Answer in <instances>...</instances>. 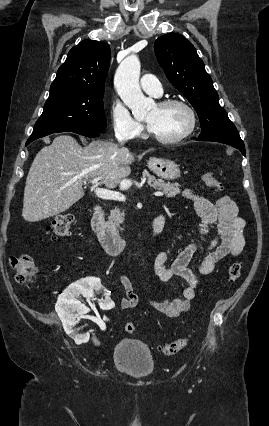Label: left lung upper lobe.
I'll use <instances>...</instances> for the list:
<instances>
[{
    "label": "left lung upper lobe",
    "instance_id": "left-lung-upper-lobe-1",
    "mask_svg": "<svg viewBox=\"0 0 269 426\" xmlns=\"http://www.w3.org/2000/svg\"><path fill=\"white\" fill-rule=\"evenodd\" d=\"M154 50L168 80L196 110L202 128L199 136L210 138L237 130L219 105L212 79L187 39L168 33L155 41Z\"/></svg>",
    "mask_w": 269,
    "mask_h": 426
}]
</instances>
